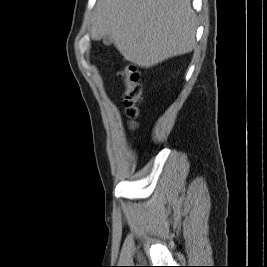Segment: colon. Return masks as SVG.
<instances>
[{
	"label": "colon",
	"instance_id": "obj_1",
	"mask_svg": "<svg viewBox=\"0 0 267 267\" xmlns=\"http://www.w3.org/2000/svg\"><path fill=\"white\" fill-rule=\"evenodd\" d=\"M119 74L125 85L124 104L126 114L131 119L132 126H134V119L139 114V103L142 100L140 75L137 67L133 64L125 65Z\"/></svg>",
	"mask_w": 267,
	"mask_h": 267
}]
</instances>
